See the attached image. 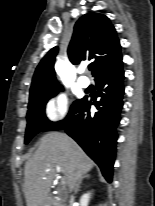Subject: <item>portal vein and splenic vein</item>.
Returning a JSON list of instances; mask_svg holds the SVG:
<instances>
[{
	"mask_svg": "<svg viewBox=\"0 0 155 206\" xmlns=\"http://www.w3.org/2000/svg\"><path fill=\"white\" fill-rule=\"evenodd\" d=\"M61 184H62V185H65V184H66V180H65L64 177L61 178Z\"/></svg>",
	"mask_w": 155,
	"mask_h": 206,
	"instance_id": "portal-vein-and-splenic-vein-1",
	"label": "portal vein and splenic vein"
}]
</instances>
